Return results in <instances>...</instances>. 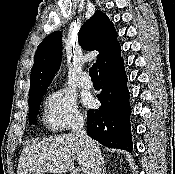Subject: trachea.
Returning <instances> with one entry per match:
<instances>
[{"instance_id":"trachea-1","label":"trachea","mask_w":175,"mask_h":174,"mask_svg":"<svg viewBox=\"0 0 175 174\" xmlns=\"http://www.w3.org/2000/svg\"><path fill=\"white\" fill-rule=\"evenodd\" d=\"M89 75L91 76L92 80H100L99 75H98V70L96 64H94L90 70H89Z\"/></svg>"}]
</instances>
